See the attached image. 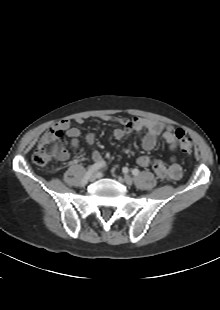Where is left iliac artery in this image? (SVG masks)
Listing matches in <instances>:
<instances>
[{
  "mask_svg": "<svg viewBox=\"0 0 220 310\" xmlns=\"http://www.w3.org/2000/svg\"><path fill=\"white\" fill-rule=\"evenodd\" d=\"M132 174H133L134 176H137V175L139 174V170H138V169H133V170H132Z\"/></svg>",
  "mask_w": 220,
  "mask_h": 310,
  "instance_id": "1",
  "label": "left iliac artery"
}]
</instances>
